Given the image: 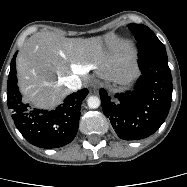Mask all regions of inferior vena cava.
Listing matches in <instances>:
<instances>
[{"mask_svg": "<svg viewBox=\"0 0 187 187\" xmlns=\"http://www.w3.org/2000/svg\"><path fill=\"white\" fill-rule=\"evenodd\" d=\"M66 86L72 91L78 90L82 86L81 79L77 75H71L67 77Z\"/></svg>", "mask_w": 187, "mask_h": 187, "instance_id": "602c4592", "label": "inferior vena cava"}]
</instances>
